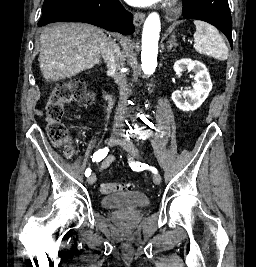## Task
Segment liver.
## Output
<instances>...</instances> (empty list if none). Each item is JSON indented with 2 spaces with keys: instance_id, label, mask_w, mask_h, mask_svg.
Here are the masks:
<instances>
[{
  "instance_id": "liver-1",
  "label": "liver",
  "mask_w": 256,
  "mask_h": 267,
  "mask_svg": "<svg viewBox=\"0 0 256 267\" xmlns=\"http://www.w3.org/2000/svg\"><path fill=\"white\" fill-rule=\"evenodd\" d=\"M109 40L90 24H50L40 36L38 62L46 82L64 80L100 62V46Z\"/></svg>"
}]
</instances>
